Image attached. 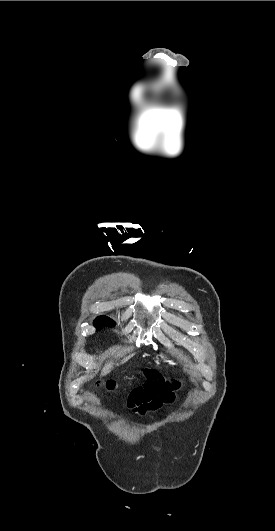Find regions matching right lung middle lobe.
<instances>
[{
	"label": "right lung middle lobe",
	"instance_id": "dd1d6c3e",
	"mask_svg": "<svg viewBox=\"0 0 275 531\" xmlns=\"http://www.w3.org/2000/svg\"><path fill=\"white\" fill-rule=\"evenodd\" d=\"M94 326L97 328V330H100L102 327H113L115 326V322L107 317V316H99L94 320Z\"/></svg>",
	"mask_w": 275,
	"mask_h": 531
}]
</instances>
